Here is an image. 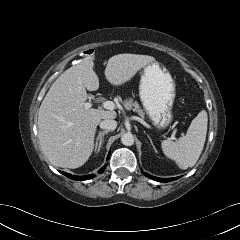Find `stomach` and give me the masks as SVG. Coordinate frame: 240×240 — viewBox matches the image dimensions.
<instances>
[{
    "instance_id": "0dacf381",
    "label": "stomach",
    "mask_w": 240,
    "mask_h": 240,
    "mask_svg": "<svg viewBox=\"0 0 240 240\" xmlns=\"http://www.w3.org/2000/svg\"><path fill=\"white\" fill-rule=\"evenodd\" d=\"M175 87L171 74L162 64L153 62L145 66L139 96L145 112L157 128H166L172 122Z\"/></svg>"
}]
</instances>
